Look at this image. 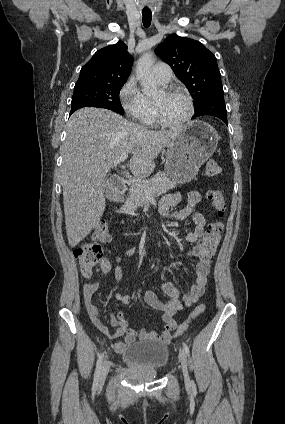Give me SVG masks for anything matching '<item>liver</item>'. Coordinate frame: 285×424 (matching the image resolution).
Segmentation results:
<instances>
[{"instance_id":"1","label":"liver","mask_w":285,"mask_h":424,"mask_svg":"<svg viewBox=\"0 0 285 424\" xmlns=\"http://www.w3.org/2000/svg\"><path fill=\"white\" fill-rule=\"evenodd\" d=\"M180 130L152 131L101 108L85 107L70 117L62 147L61 185L68 242L75 247L96 226L105 210L103 181L122 154L129 168L146 178L154 160Z\"/></svg>"}]
</instances>
